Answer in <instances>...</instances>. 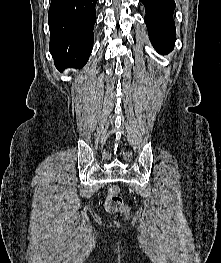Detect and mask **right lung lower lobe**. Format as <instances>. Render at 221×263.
<instances>
[{
    "label": "right lung lower lobe",
    "mask_w": 221,
    "mask_h": 263,
    "mask_svg": "<svg viewBox=\"0 0 221 263\" xmlns=\"http://www.w3.org/2000/svg\"><path fill=\"white\" fill-rule=\"evenodd\" d=\"M97 0H51L49 51L55 66L82 68L93 48Z\"/></svg>",
    "instance_id": "obj_1"
}]
</instances>
